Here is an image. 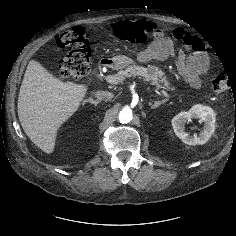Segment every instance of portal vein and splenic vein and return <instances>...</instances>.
I'll use <instances>...</instances> for the list:
<instances>
[{
	"instance_id": "1",
	"label": "portal vein and splenic vein",
	"mask_w": 236,
	"mask_h": 236,
	"mask_svg": "<svg viewBox=\"0 0 236 236\" xmlns=\"http://www.w3.org/2000/svg\"><path fill=\"white\" fill-rule=\"evenodd\" d=\"M105 80L110 84H118L122 81V79L117 75H107L105 76ZM160 93L166 97L168 96L167 92L164 90H160Z\"/></svg>"
}]
</instances>
